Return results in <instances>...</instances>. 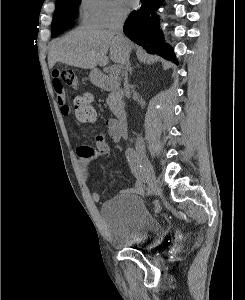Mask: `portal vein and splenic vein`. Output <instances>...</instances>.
<instances>
[{"label":"portal vein and splenic vein","mask_w":245,"mask_h":300,"mask_svg":"<svg viewBox=\"0 0 245 300\" xmlns=\"http://www.w3.org/2000/svg\"><path fill=\"white\" fill-rule=\"evenodd\" d=\"M110 72H111L112 75H117L120 72V68L118 66H113L110 69Z\"/></svg>","instance_id":"obj_1"}]
</instances>
